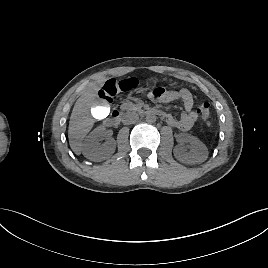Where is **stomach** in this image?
Masks as SVG:
<instances>
[{"mask_svg":"<svg viewBox=\"0 0 268 268\" xmlns=\"http://www.w3.org/2000/svg\"><path fill=\"white\" fill-rule=\"evenodd\" d=\"M159 80L158 79H153V80H151L150 82H152V83H156V82H158ZM171 85H175V83H171Z\"/></svg>","mask_w":268,"mask_h":268,"instance_id":"1","label":"stomach"}]
</instances>
